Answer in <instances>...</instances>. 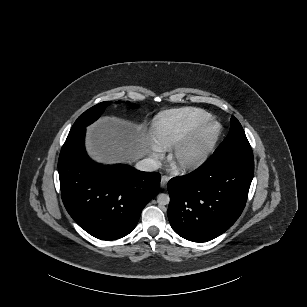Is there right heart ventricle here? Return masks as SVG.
<instances>
[{"label":"right heart ventricle","instance_id":"right-heart-ventricle-1","mask_svg":"<svg viewBox=\"0 0 307 307\" xmlns=\"http://www.w3.org/2000/svg\"><path fill=\"white\" fill-rule=\"evenodd\" d=\"M213 116L197 108H179L160 112L153 120L156 144L160 149L173 148L206 126Z\"/></svg>","mask_w":307,"mask_h":307}]
</instances>
